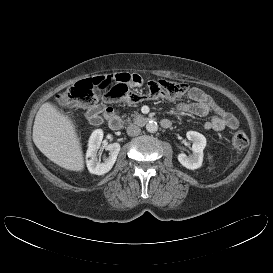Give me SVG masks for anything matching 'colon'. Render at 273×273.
I'll use <instances>...</instances> for the list:
<instances>
[{
    "instance_id": "colon-1",
    "label": "colon",
    "mask_w": 273,
    "mask_h": 273,
    "mask_svg": "<svg viewBox=\"0 0 273 273\" xmlns=\"http://www.w3.org/2000/svg\"><path fill=\"white\" fill-rule=\"evenodd\" d=\"M135 74L118 73L107 76H96L76 82L64 93L58 96L60 107H85L93 105L97 100L95 90H105L106 101L114 103L126 101L136 103L142 99H174L182 96L188 90L187 84L170 80H151L147 83V94L141 96L129 90V85L138 82ZM232 146L236 151H243L248 146V137L243 132L232 136Z\"/></svg>"
}]
</instances>
